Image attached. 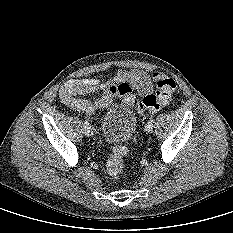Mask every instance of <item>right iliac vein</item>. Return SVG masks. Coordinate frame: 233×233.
Listing matches in <instances>:
<instances>
[{"mask_svg":"<svg viewBox=\"0 0 233 233\" xmlns=\"http://www.w3.org/2000/svg\"><path fill=\"white\" fill-rule=\"evenodd\" d=\"M89 134L90 135H94L95 134V129L92 126H90V133Z\"/></svg>","mask_w":233,"mask_h":233,"instance_id":"obj_1","label":"right iliac vein"}]
</instances>
